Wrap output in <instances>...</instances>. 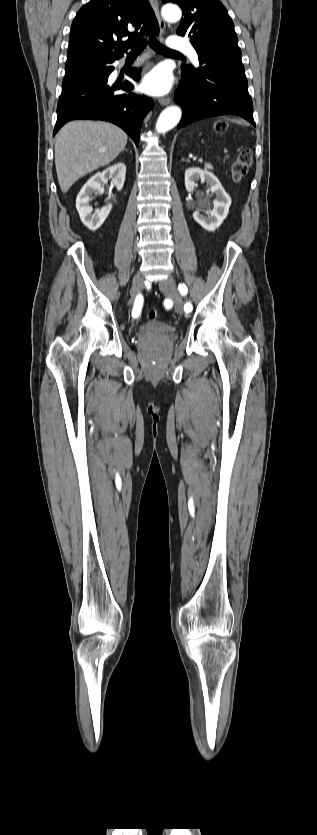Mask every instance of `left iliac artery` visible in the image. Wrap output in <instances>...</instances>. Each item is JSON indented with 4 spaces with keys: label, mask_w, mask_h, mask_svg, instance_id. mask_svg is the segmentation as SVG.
Masks as SVG:
<instances>
[{
    "label": "left iliac artery",
    "mask_w": 317,
    "mask_h": 835,
    "mask_svg": "<svg viewBox=\"0 0 317 835\" xmlns=\"http://www.w3.org/2000/svg\"><path fill=\"white\" fill-rule=\"evenodd\" d=\"M178 290L181 293V295H183V296H185L188 292V288L184 283L179 284ZM184 310L186 312H191L192 311V304L190 302H186L185 305H184Z\"/></svg>",
    "instance_id": "44dca946"
}]
</instances>
